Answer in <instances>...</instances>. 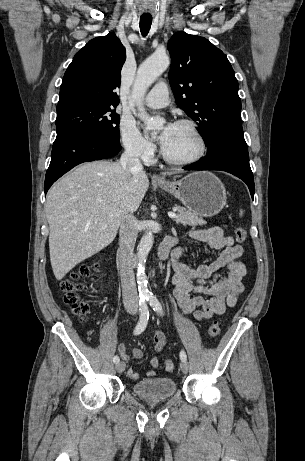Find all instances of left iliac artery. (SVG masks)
Returning a JSON list of instances; mask_svg holds the SVG:
<instances>
[{
	"mask_svg": "<svg viewBox=\"0 0 305 461\" xmlns=\"http://www.w3.org/2000/svg\"><path fill=\"white\" fill-rule=\"evenodd\" d=\"M146 299L150 303V306L153 308L154 311H156L160 315L164 314L163 309H162V305H161V303L159 302V300L157 299V297L155 295L150 294V295L146 296ZM180 359L181 360H186L187 359V355L183 350L180 352Z\"/></svg>",
	"mask_w": 305,
	"mask_h": 461,
	"instance_id": "44dca946",
	"label": "left iliac artery"
}]
</instances>
